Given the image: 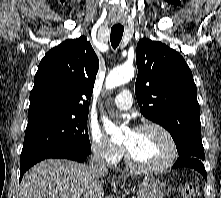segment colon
I'll return each instance as SVG.
<instances>
[{"label": "colon", "instance_id": "colon-1", "mask_svg": "<svg viewBox=\"0 0 221 198\" xmlns=\"http://www.w3.org/2000/svg\"><path fill=\"white\" fill-rule=\"evenodd\" d=\"M181 198H193L195 195V188L191 183H185L180 189Z\"/></svg>", "mask_w": 221, "mask_h": 198}]
</instances>
